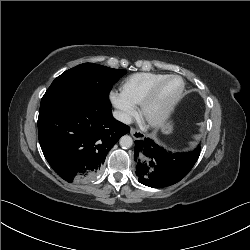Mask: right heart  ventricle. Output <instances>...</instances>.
I'll use <instances>...</instances> for the list:
<instances>
[{
  "label": "right heart ventricle",
  "mask_w": 250,
  "mask_h": 250,
  "mask_svg": "<svg viewBox=\"0 0 250 250\" xmlns=\"http://www.w3.org/2000/svg\"><path fill=\"white\" fill-rule=\"evenodd\" d=\"M167 76L163 73L141 72L125 78L120 85V94L133 106L140 104L154 83Z\"/></svg>",
  "instance_id": "obj_1"
}]
</instances>
